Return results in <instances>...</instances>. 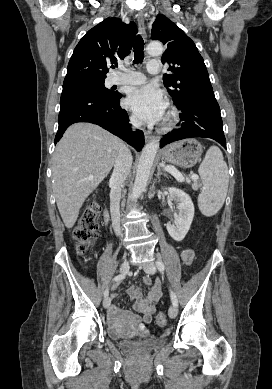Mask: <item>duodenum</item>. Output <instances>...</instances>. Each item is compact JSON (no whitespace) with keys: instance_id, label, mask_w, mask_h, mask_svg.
<instances>
[{"instance_id":"obj_1","label":"duodenum","mask_w":272,"mask_h":389,"mask_svg":"<svg viewBox=\"0 0 272 389\" xmlns=\"http://www.w3.org/2000/svg\"><path fill=\"white\" fill-rule=\"evenodd\" d=\"M104 217H105V221H108V218H109V213H108V211H105Z\"/></svg>"}]
</instances>
